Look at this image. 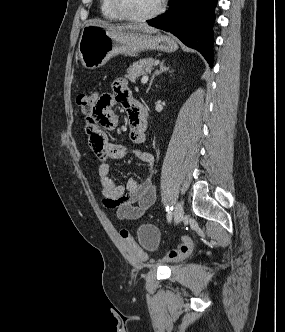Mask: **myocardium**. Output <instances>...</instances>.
Returning a JSON list of instances; mask_svg holds the SVG:
<instances>
[{
	"instance_id": "f54148a6",
	"label": "myocardium",
	"mask_w": 285,
	"mask_h": 332,
	"mask_svg": "<svg viewBox=\"0 0 285 332\" xmlns=\"http://www.w3.org/2000/svg\"><path fill=\"white\" fill-rule=\"evenodd\" d=\"M110 1H111V5H112V8L114 9V11L122 19L132 21V22H145V21L154 19L162 12L163 6H164V0H160L157 8L153 12L146 14V15L137 16V15H132V14L128 13L125 10V8L123 7L120 0H110Z\"/></svg>"
}]
</instances>
